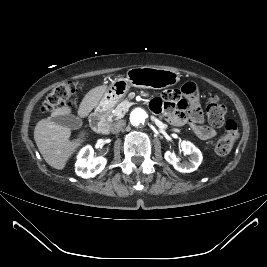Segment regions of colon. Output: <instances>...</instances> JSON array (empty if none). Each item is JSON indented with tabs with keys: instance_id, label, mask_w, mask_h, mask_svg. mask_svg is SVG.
I'll return each instance as SVG.
<instances>
[{
	"instance_id": "obj_1",
	"label": "colon",
	"mask_w": 267,
	"mask_h": 267,
	"mask_svg": "<svg viewBox=\"0 0 267 267\" xmlns=\"http://www.w3.org/2000/svg\"><path fill=\"white\" fill-rule=\"evenodd\" d=\"M80 84L75 81H67L55 86L45 97L42 108L49 112L55 108L75 101ZM209 123L215 127H225V134L220 137L215 145L219 155L228 154L239 136L238 125L234 120L225 121L226 107L220 103L218 97L210 98L206 107Z\"/></svg>"
}]
</instances>
